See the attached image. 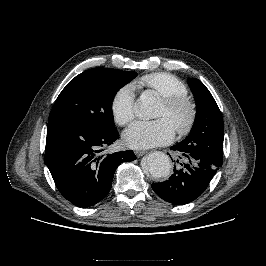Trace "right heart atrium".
<instances>
[{"label":"right heart atrium","mask_w":266,"mask_h":266,"mask_svg":"<svg viewBox=\"0 0 266 266\" xmlns=\"http://www.w3.org/2000/svg\"><path fill=\"white\" fill-rule=\"evenodd\" d=\"M135 92L132 86L120 88L112 98L111 110L115 121L120 125L128 124L135 115Z\"/></svg>","instance_id":"obj_1"}]
</instances>
